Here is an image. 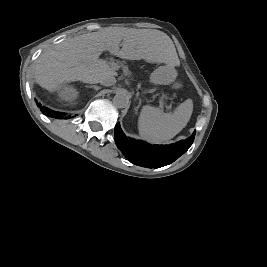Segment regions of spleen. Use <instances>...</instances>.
<instances>
[{
  "instance_id": "1",
  "label": "spleen",
  "mask_w": 267,
  "mask_h": 267,
  "mask_svg": "<svg viewBox=\"0 0 267 267\" xmlns=\"http://www.w3.org/2000/svg\"><path fill=\"white\" fill-rule=\"evenodd\" d=\"M191 111L186 103L165 113L149 105L142 107L138 119L140 137L152 144H163L175 137L188 123Z\"/></svg>"
}]
</instances>
